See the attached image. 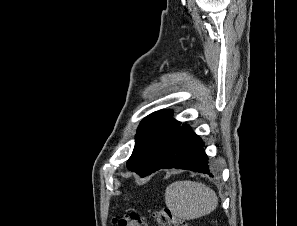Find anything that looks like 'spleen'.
I'll return each instance as SVG.
<instances>
[{
    "label": "spleen",
    "mask_w": 297,
    "mask_h": 226,
    "mask_svg": "<svg viewBox=\"0 0 297 226\" xmlns=\"http://www.w3.org/2000/svg\"><path fill=\"white\" fill-rule=\"evenodd\" d=\"M165 203L173 216L192 220L216 209L218 197L210 187L201 182L183 180L175 181L166 188Z\"/></svg>",
    "instance_id": "obj_1"
}]
</instances>
